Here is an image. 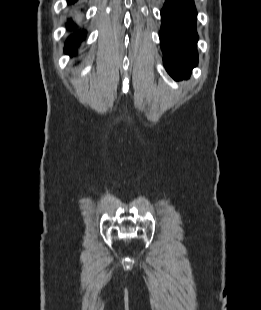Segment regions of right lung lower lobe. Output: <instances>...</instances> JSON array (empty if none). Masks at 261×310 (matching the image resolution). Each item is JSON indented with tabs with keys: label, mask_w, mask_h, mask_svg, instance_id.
Segmentation results:
<instances>
[{
	"label": "right lung lower lobe",
	"mask_w": 261,
	"mask_h": 310,
	"mask_svg": "<svg viewBox=\"0 0 261 310\" xmlns=\"http://www.w3.org/2000/svg\"><path fill=\"white\" fill-rule=\"evenodd\" d=\"M70 3H75L77 0H67ZM66 27L68 29H74L75 28V24L74 22L70 19L67 24ZM86 32L83 30L82 33H75L69 36L67 42H66V48H65V52L68 54H73L75 52V49L77 48V46L80 44V42L83 40V38L85 37Z\"/></svg>",
	"instance_id": "98d812e1"
}]
</instances>
